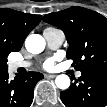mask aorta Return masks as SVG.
I'll return each mask as SVG.
<instances>
[{
	"instance_id": "762f6f07",
	"label": "aorta",
	"mask_w": 107,
	"mask_h": 107,
	"mask_svg": "<svg viewBox=\"0 0 107 107\" xmlns=\"http://www.w3.org/2000/svg\"><path fill=\"white\" fill-rule=\"evenodd\" d=\"M45 39L39 34H31L25 40V47L32 54H39L45 49ZM55 84L59 89L66 90L70 86V78L65 74L58 75Z\"/></svg>"
}]
</instances>
